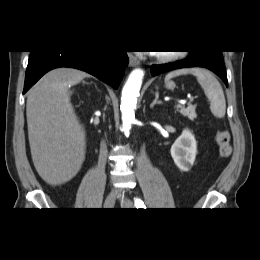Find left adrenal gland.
Listing matches in <instances>:
<instances>
[{
  "instance_id": "1",
  "label": "left adrenal gland",
  "mask_w": 260,
  "mask_h": 260,
  "mask_svg": "<svg viewBox=\"0 0 260 260\" xmlns=\"http://www.w3.org/2000/svg\"><path fill=\"white\" fill-rule=\"evenodd\" d=\"M161 103H162V102L159 101V93L156 92V93H155V99H154V101L151 103L150 107L153 108L154 105H156V104H161Z\"/></svg>"
}]
</instances>
